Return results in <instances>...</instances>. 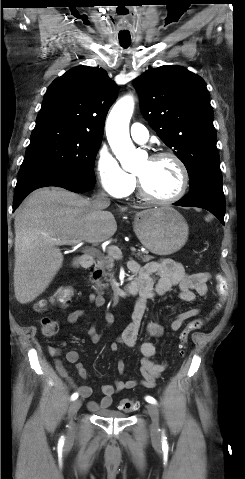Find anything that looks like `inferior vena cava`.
<instances>
[{"label": "inferior vena cava", "instance_id": "obj_1", "mask_svg": "<svg viewBox=\"0 0 245 479\" xmlns=\"http://www.w3.org/2000/svg\"><path fill=\"white\" fill-rule=\"evenodd\" d=\"M95 201L101 205H109L110 204V200L107 196V194L103 191H100L97 193L96 197H95Z\"/></svg>", "mask_w": 245, "mask_h": 479}]
</instances>
